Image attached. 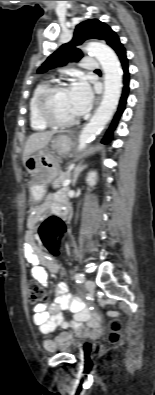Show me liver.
<instances>
[{"instance_id":"liver-1","label":"liver","mask_w":155,"mask_h":395,"mask_svg":"<svg viewBox=\"0 0 155 395\" xmlns=\"http://www.w3.org/2000/svg\"><path fill=\"white\" fill-rule=\"evenodd\" d=\"M54 134H55L54 131L37 132L31 134L24 148L23 163L25 164L28 157L31 156L36 151L46 148Z\"/></svg>"}]
</instances>
